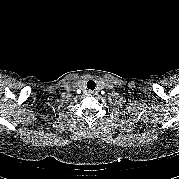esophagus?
<instances>
[{
  "label": "esophagus",
  "mask_w": 179,
  "mask_h": 179,
  "mask_svg": "<svg viewBox=\"0 0 179 179\" xmlns=\"http://www.w3.org/2000/svg\"><path fill=\"white\" fill-rule=\"evenodd\" d=\"M93 93H94V92H93V91H91V90H88V91H87V94H88L89 96H92V95H93Z\"/></svg>",
  "instance_id": "obj_1"
}]
</instances>
